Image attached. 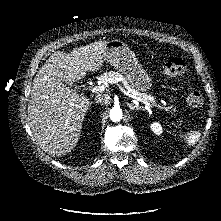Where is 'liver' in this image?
Instances as JSON below:
<instances>
[{
  "label": "liver",
  "instance_id": "obj_1",
  "mask_svg": "<svg viewBox=\"0 0 221 221\" xmlns=\"http://www.w3.org/2000/svg\"><path fill=\"white\" fill-rule=\"evenodd\" d=\"M107 41L52 54L33 80L28 105L29 124L37 144L49 155L61 157L76 147L90 101L65 82L97 72L104 62Z\"/></svg>",
  "mask_w": 221,
  "mask_h": 221
}]
</instances>
